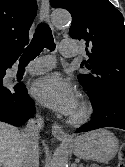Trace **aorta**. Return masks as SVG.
Returning <instances> with one entry per match:
<instances>
[{
	"instance_id": "aorta-1",
	"label": "aorta",
	"mask_w": 125,
	"mask_h": 167,
	"mask_svg": "<svg viewBox=\"0 0 125 167\" xmlns=\"http://www.w3.org/2000/svg\"><path fill=\"white\" fill-rule=\"evenodd\" d=\"M53 24L57 28H65L71 23V15L66 11H54L51 15ZM69 151L66 146H59L52 157L50 167H68Z\"/></svg>"
}]
</instances>
